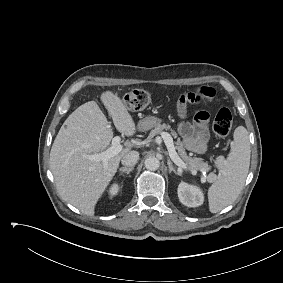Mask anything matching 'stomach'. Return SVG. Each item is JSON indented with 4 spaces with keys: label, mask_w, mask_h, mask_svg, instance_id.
<instances>
[{
    "label": "stomach",
    "mask_w": 283,
    "mask_h": 283,
    "mask_svg": "<svg viewBox=\"0 0 283 283\" xmlns=\"http://www.w3.org/2000/svg\"><path fill=\"white\" fill-rule=\"evenodd\" d=\"M161 122L162 120L155 116L145 117L144 119L139 121L138 129L141 131H146L154 127H157L159 124H161Z\"/></svg>",
    "instance_id": "0dacf381"
}]
</instances>
